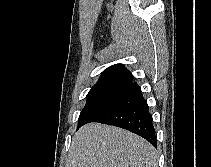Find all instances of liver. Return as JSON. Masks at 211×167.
<instances>
[{
  "label": "liver",
  "instance_id": "1",
  "mask_svg": "<svg viewBox=\"0 0 211 167\" xmlns=\"http://www.w3.org/2000/svg\"><path fill=\"white\" fill-rule=\"evenodd\" d=\"M155 148L127 130L89 123L74 135L68 167H157Z\"/></svg>",
  "mask_w": 211,
  "mask_h": 167
}]
</instances>
